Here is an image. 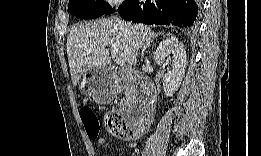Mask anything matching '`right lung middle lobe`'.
Masks as SVG:
<instances>
[{
    "instance_id": "obj_1",
    "label": "right lung middle lobe",
    "mask_w": 261,
    "mask_h": 156,
    "mask_svg": "<svg viewBox=\"0 0 261 156\" xmlns=\"http://www.w3.org/2000/svg\"><path fill=\"white\" fill-rule=\"evenodd\" d=\"M111 9V6L104 1L88 2L81 0H70L68 11L78 18L92 19L97 18Z\"/></svg>"
}]
</instances>
